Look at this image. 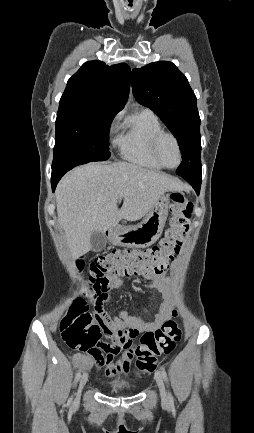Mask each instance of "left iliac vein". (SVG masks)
Instances as JSON below:
<instances>
[{
    "instance_id": "1",
    "label": "left iliac vein",
    "mask_w": 254,
    "mask_h": 433,
    "mask_svg": "<svg viewBox=\"0 0 254 433\" xmlns=\"http://www.w3.org/2000/svg\"><path fill=\"white\" fill-rule=\"evenodd\" d=\"M156 383L160 391V395L163 401H167V395L163 379L159 373L156 374Z\"/></svg>"
}]
</instances>
